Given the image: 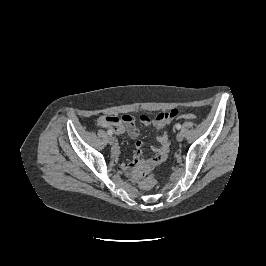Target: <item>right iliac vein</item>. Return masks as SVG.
<instances>
[{"label":"right iliac vein","mask_w":266,"mask_h":266,"mask_svg":"<svg viewBox=\"0 0 266 266\" xmlns=\"http://www.w3.org/2000/svg\"><path fill=\"white\" fill-rule=\"evenodd\" d=\"M114 141H115V138H114L113 136H109V137H108V143H109V144H113Z\"/></svg>","instance_id":"63e3f726"}]
</instances>
